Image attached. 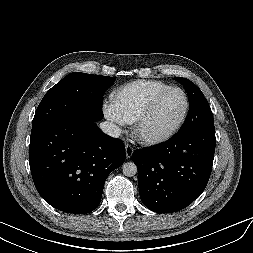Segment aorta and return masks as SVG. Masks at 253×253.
Instances as JSON below:
<instances>
[{
  "mask_svg": "<svg viewBox=\"0 0 253 253\" xmlns=\"http://www.w3.org/2000/svg\"><path fill=\"white\" fill-rule=\"evenodd\" d=\"M123 174L127 177H132L137 173V166L133 162H126L122 166Z\"/></svg>",
  "mask_w": 253,
  "mask_h": 253,
  "instance_id": "obj_1",
  "label": "aorta"
}]
</instances>
